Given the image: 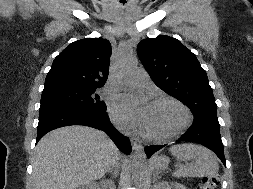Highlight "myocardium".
Masks as SVG:
<instances>
[{
	"instance_id": "obj_1",
	"label": "myocardium",
	"mask_w": 253,
	"mask_h": 189,
	"mask_svg": "<svg viewBox=\"0 0 253 189\" xmlns=\"http://www.w3.org/2000/svg\"><path fill=\"white\" fill-rule=\"evenodd\" d=\"M160 102H168V103H171L174 106H176L182 112L183 118H182L181 123L173 131L166 133V134H155L150 131L144 130V135L146 136V138L153 140V141L170 140V139L178 136L182 132H184L190 126V124L192 122V114H191L190 110L188 109V107L184 103H182L178 99H176L172 96H169V95H159V96H156L152 100V104L160 103Z\"/></svg>"
}]
</instances>
